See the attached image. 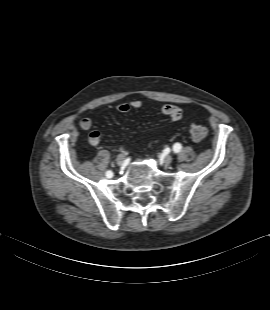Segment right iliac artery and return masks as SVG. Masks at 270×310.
I'll list each match as a JSON object with an SVG mask.
<instances>
[{"instance_id":"82829eb1","label":"right iliac artery","mask_w":270,"mask_h":310,"mask_svg":"<svg viewBox=\"0 0 270 310\" xmlns=\"http://www.w3.org/2000/svg\"><path fill=\"white\" fill-rule=\"evenodd\" d=\"M106 176L109 177V178H111V177L113 176L112 171H107V172H106Z\"/></svg>"}]
</instances>
